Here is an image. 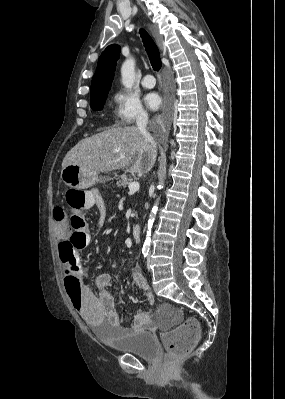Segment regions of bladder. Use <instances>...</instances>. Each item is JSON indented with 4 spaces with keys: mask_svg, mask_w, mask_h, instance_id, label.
Wrapping results in <instances>:
<instances>
[{
    "mask_svg": "<svg viewBox=\"0 0 285 399\" xmlns=\"http://www.w3.org/2000/svg\"><path fill=\"white\" fill-rule=\"evenodd\" d=\"M89 325L96 335L103 336L105 334L101 329V323L93 322ZM105 341L121 352L143 359L153 360L159 355V343L150 332L132 330L129 335L123 337L113 336L105 339Z\"/></svg>",
    "mask_w": 285,
    "mask_h": 399,
    "instance_id": "1",
    "label": "bladder"
}]
</instances>
